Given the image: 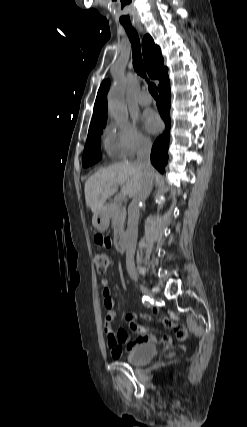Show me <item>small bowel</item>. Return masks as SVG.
<instances>
[{
  "label": "small bowel",
  "mask_w": 247,
  "mask_h": 427,
  "mask_svg": "<svg viewBox=\"0 0 247 427\" xmlns=\"http://www.w3.org/2000/svg\"><path fill=\"white\" fill-rule=\"evenodd\" d=\"M95 244L98 245L101 249L108 250L111 248L113 241L110 239V237L106 236L104 232H99L95 237ZM102 286L103 304L106 309L104 316V329L107 335L108 345L114 357L121 356L124 350H132L137 344L149 343L156 340L155 335L149 329L137 325L136 319L138 317H143L147 320H158L166 326L170 327L175 332L179 340L183 341L187 338V330L180 324L178 316L172 312H168L165 317L158 319L155 316L158 313L157 308H154L153 315L145 313H132L126 316L125 324L138 333V339L136 342L130 341L129 336L123 327L119 328L115 332L113 329V321L116 316L114 311L115 302L111 296L109 281L107 279H103ZM161 342L168 345L172 342V339L169 336H163L161 338Z\"/></svg>",
  "instance_id": "1"
}]
</instances>
